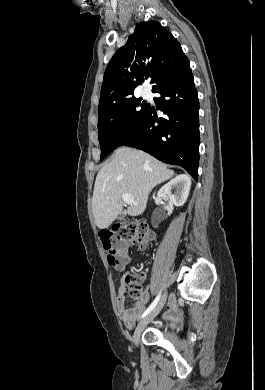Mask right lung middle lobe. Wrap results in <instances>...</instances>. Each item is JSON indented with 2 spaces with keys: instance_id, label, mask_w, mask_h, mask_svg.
<instances>
[{
  "instance_id": "1",
  "label": "right lung middle lobe",
  "mask_w": 265,
  "mask_h": 390,
  "mask_svg": "<svg viewBox=\"0 0 265 390\" xmlns=\"http://www.w3.org/2000/svg\"><path fill=\"white\" fill-rule=\"evenodd\" d=\"M150 105L131 97L98 112V132L103 160L133 132L145 118Z\"/></svg>"
}]
</instances>
